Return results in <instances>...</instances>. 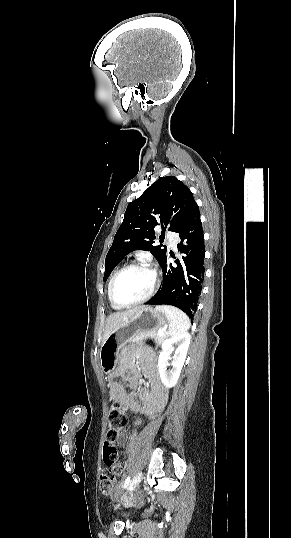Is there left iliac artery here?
<instances>
[{"label":"left iliac artery","mask_w":291,"mask_h":538,"mask_svg":"<svg viewBox=\"0 0 291 538\" xmlns=\"http://www.w3.org/2000/svg\"><path fill=\"white\" fill-rule=\"evenodd\" d=\"M129 482H130V476H128V477L126 478V480H125V482H124V485H123V489H125V488L128 486Z\"/></svg>","instance_id":"44dca946"}]
</instances>
